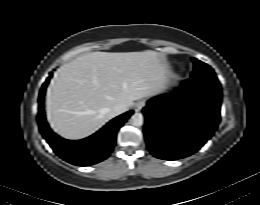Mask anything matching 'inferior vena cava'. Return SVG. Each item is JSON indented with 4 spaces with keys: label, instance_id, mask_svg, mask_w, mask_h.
<instances>
[{
    "label": "inferior vena cava",
    "instance_id": "obj_1",
    "mask_svg": "<svg viewBox=\"0 0 260 205\" xmlns=\"http://www.w3.org/2000/svg\"><path fill=\"white\" fill-rule=\"evenodd\" d=\"M127 110H128V107L125 104L120 103L111 109V113L113 116H118V115L126 112Z\"/></svg>",
    "mask_w": 260,
    "mask_h": 205
}]
</instances>
